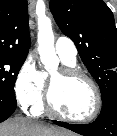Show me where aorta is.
<instances>
[{
    "label": "aorta",
    "mask_w": 117,
    "mask_h": 136,
    "mask_svg": "<svg viewBox=\"0 0 117 136\" xmlns=\"http://www.w3.org/2000/svg\"><path fill=\"white\" fill-rule=\"evenodd\" d=\"M38 51L43 65L48 70L56 69L58 59L54 48V34L51 20L42 16L38 19Z\"/></svg>",
    "instance_id": "762f6f07"
}]
</instances>
